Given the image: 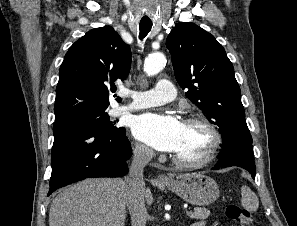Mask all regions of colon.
Listing matches in <instances>:
<instances>
[{
  "mask_svg": "<svg viewBox=\"0 0 297 226\" xmlns=\"http://www.w3.org/2000/svg\"><path fill=\"white\" fill-rule=\"evenodd\" d=\"M226 216L238 223L240 226H253L254 218L246 210L242 209L236 204H230L226 207Z\"/></svg>",
  "mask_w": 297,
  "mask_h": 226,
  "instance_id": "1",
  "label": "colon"
}]
</instances>
